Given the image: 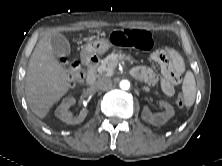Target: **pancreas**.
Segmentation results:
<instances>
[{"mask_svg":"<svg viewBox=\"0 0 222 166\" xmlns=\"http://www.w3.org/2000/svg\"><path fill=\"white\" fill-rule=\"evenodd\" d=\"M121 59L132 60L130 55L125 56L122 54L112 53L108 55L101 61V65L99 67V72L102 76H112L114 74V69L116 68L118 61Z\"/></svg>","mask_w":222,"mask_h":166,"instance_id":"pancreas-1","label":"pancreas"}]
</instances>
